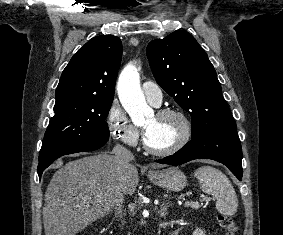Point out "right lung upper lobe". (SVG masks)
I'll return each mask as SVG.
<instances>
[{"label":"right lung upper lobe","mask_w":283,"mask_h":235,"mask_svg":"<svg viewBox=\"0 0 283 235\" xmlns=\"http://www.w3.org/2000/svg\"><path fill=\"white\" fill-rule=\"evenodd\" d=\"M121 56L118 37H93L64 69L56 89V102L74 97L113 98Z\"/></svg>","instance_id":"obj_1"}]
</instances>
